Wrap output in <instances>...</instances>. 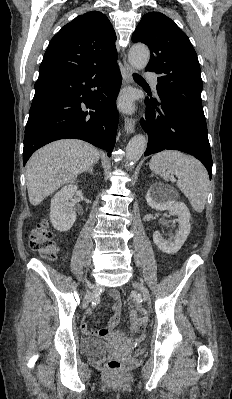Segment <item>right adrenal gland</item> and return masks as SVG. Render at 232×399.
Wrapping results in <instances>:
<instances>
[{
    "label": "right adrenal gland",
    "mask_w": 232,
    "mask_h": 399,
    "mask_svg": "<svg viewBox=\"0 0 232 399\" xmlns=\"http://www.w3.org/2000/svg\"><path fill=\"white\" fill-rule=\"evenodd\" d=\"M93 166H94V164H93ZM93 166H90V168H88V170H85V172H89V174H92V176H93V172H94Z\"/></svg>",
    "instance_id": "1"
}]
</instances>
